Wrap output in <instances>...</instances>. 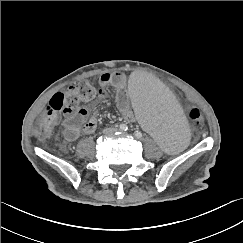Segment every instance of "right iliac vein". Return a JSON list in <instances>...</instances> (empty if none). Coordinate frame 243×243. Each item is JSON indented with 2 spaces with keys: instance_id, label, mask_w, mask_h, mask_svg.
Listing matches in <instances>:
<instances>
[{
  "instance_id": "right-iliac-vein-1",
  "label": "right iliac vein",
  "mask_w": 243,
  "mask_h": 243,
  "mask_svg": "<svg viewBox=\"0 0 243 243\" xmlns=\"http://www.w3.org/2000/svg\"><path fill=\"white\" fill-rule=\"evenodd\" d=\"M114 131H115V128L107 127L103 130V133L110 134V133H113Z\"/></svg>"
}]
</instances>
